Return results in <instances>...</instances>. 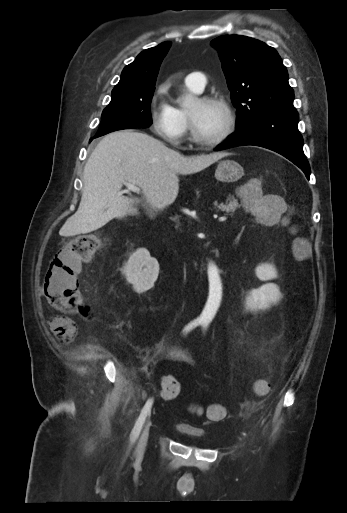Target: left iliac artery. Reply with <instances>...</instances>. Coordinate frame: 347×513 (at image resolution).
<instances>
[{
    "label": "left iliac artery",
    "mask_w": 347,
    "mask_h": 513,
    "mask_svg": "<svg viewBox=\"0 0 347 513\" xmlns=\"http://www.w3.org/2000/svg\"><path fill=\"white\" fill-rule=\"evenodd\" d=\"M207 325H208V323H207V322H205V323L203 324V327H205V328H206V327H207Z\"/></svg>",
    "instance_id": "44dca946"
}]
</instances>
